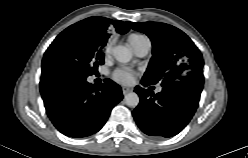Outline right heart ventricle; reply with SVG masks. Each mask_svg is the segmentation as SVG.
Here are the masks:
<instances>
[{
    "label": "right heart ventricle",
    "instance_id": "right-heart-ventricle-1",
    "mask_svg": "<svg viewBox=\"0 0 248 158\" xmlns=\"http://www.w3.org/2000/svg\"><path fill=\"white\" fill-rule=\"evenodd\" d=\"M145 36L144 35H141V34H131L129 36V44L131 46V48H133V46L139 41L141 40L142 38H144Z\"/></svg>",
    "mask_w": 248,
    "mask_h": 158
}]
</instances>
